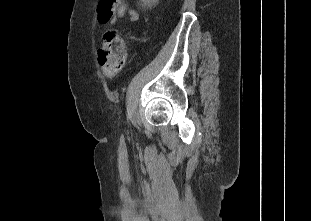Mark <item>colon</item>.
Wrapping results in <instances>:
<instances>
[{
  "label": "colon",
  "instance_id": "1",
  "mask_svg": "<svg viewBox=\"0 0 311 221\" xmlns=\"http://www.w3.org/2000/svg\"><path fill=\"white\" fill-rule=\"evenodd\" d=\"M120 0H103L99 2L100 10L97 22L103 26L109 17H115ZM102 72L106 79L112 80L124 68L126 50L125 43L120 39L117 31L107 30L103 37V45L99 48Z\"/></svg>",
  "mask_w": 311,
  "mask_h": 221
}]
</instances>
